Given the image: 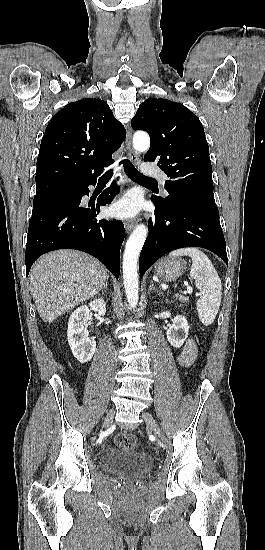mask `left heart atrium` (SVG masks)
<instances>
[{"mask_svg":"<svg viewBox=\"0 0 265 550\" xmlns=\"http://www.w3.org/2000/svg\"><path fill=\"white\" fill-rule=\"evenodd\" d=\"M139 199L133 194H127L110 208L112 216L120 218H130L139 211Z\"/></svg>","mask_w":265,"mask_h":550,"instance_id":"left-heart-atrium-1","label":"left heart atrium"}]
</instances>
